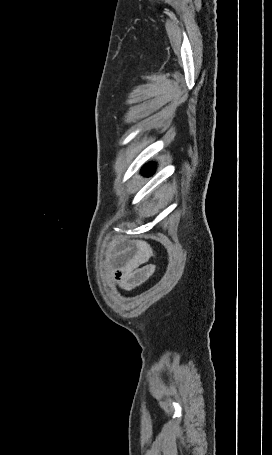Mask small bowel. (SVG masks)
<instances>
[{"label": "small bowel", "instance_id": "obj_1", "mask_svg": "<svg viewBox=\"0 0 272 455\" xmlns=\"http://www.w3.org/2000/svg\"><path fill=\"white\" fill-rule=\"evenodd\" d=\"M151 254L150 246L142 240L118 247L110 267L113 283L130 291L146 282L155 272V266L148 263Z\"/></svg>", "mask_w": 272, "mask_h": 455}]
</instances>
